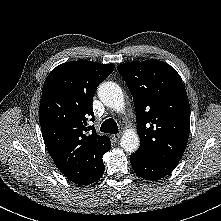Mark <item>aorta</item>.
<instances>
[{
  "label": "aorta",
  "mask_w": 221,
  "mask_h": 221,
  "mask_svg": "<svg viewBox=\"0 0 221 221\" xmlns=\"http://www.w3.org/2000/svg\"><path fill=\"white\" fill-rule=\"evenodd\" d=\"M98 97L105 106L121 111L124 108V96L120 86L114 82H103L98 87ZM121 147L126 152H135L140 144L139 136L136 131L127 129L121 137Z\"/></svg>",
  "instance_id": "aorta-1"
}]
</instances>
